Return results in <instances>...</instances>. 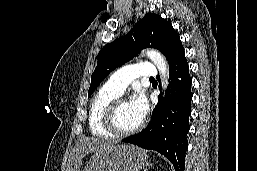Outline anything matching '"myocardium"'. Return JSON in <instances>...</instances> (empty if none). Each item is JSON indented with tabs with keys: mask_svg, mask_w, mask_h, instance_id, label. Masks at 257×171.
I'll list each match as a JSON object with an SVG mask.
<instances>
[{
	"mask_svg": "<svg viewBox=\"0 0 257 171\" xmlns=\"http://www.w3.org/2000/svg\"><path fill=\"white\" fill-rule=\"evenodd\" d=\"M127 102V99L124 97L119 96L118 98L112 100L106 107L103 117V125L105 129L110 132L112 135L117 137H124L129 136L132 134L137 133L139 130L142 129L144 126V119L141 120V122L135 126L132 129L129 130H121L118 128L116 124V112L118 107L124 103Z\"/></svg>",
	"mask_w": 257,
	"mask_h": 171,
	"instance_id": "myocardium-1",
	"label": "myocardium"
}]
</instances>
